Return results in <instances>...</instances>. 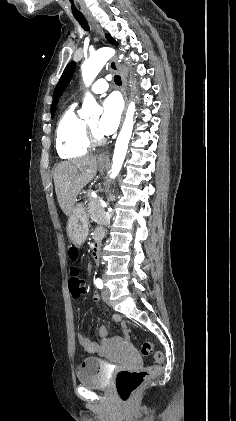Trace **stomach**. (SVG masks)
<instances>
[{
  "mask_svg": "<svg viewBox=\"0 0 236 421\" xmlns=\"http://www.w3.org/2000/svg\"><path fill=\"white\" fill-rule=\"evenodd\" d=\"M98 170H104L108 166V162L104 160H97ZM89 215L86 211V206L83 202H77L76 206L72 208V213L68 217V223L66 227L69 241L75 245V247H81L85 243L89 235Z\"/></svg>",
  "mask_w": 236,
  "mask_h": 421,
  "instance_id": "stomach-1",
  "label": "stomach"
}]
</instances>
